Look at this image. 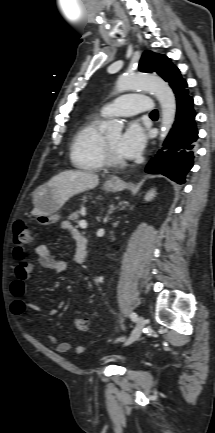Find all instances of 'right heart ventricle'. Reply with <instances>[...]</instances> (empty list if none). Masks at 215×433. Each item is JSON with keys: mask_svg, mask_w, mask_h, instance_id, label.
<instances>
[{"mask_svg": "<svg viewBox=\"0 0 215 433\" xmlns=\"http://www.w3.org/2000/svg\"><path fill=\"white\" fill-rule=\"evenodd\" d=\"M105 117L102 113L94 114L77 130L70 151L71 161L77 168L99 171L105 166L101 129Z\"/></svg>", "mask_w": 215, "mask_h": 433, "instance_id": "right-heart-ventricle-1", "label": "right heart ventricle"}]
</instances>
